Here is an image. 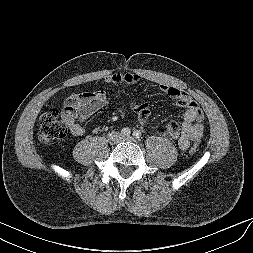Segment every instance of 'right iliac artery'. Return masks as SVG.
Wrapping results in <instances>:
<instances>
[{
    "label": "right iliac artery",
    "instance_id": "82829eb1",
    "mask_svg": "<svg viewBox=\"0 0 253 253\" xmlns=\"http://www.w3.org/2000/svg\"><path fill=\"white\" fill-rule=\"evenodd\" d=\"M121 134H122L123 136H129V135L131 134V131H130V129H129L128 127H125V128H123V129L121 130Z\"/></svg>",
    "mask_w": 253,
    "mask_h": 253
}]
</instances>
